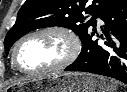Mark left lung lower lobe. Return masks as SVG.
<instances>
[{"mask_svg":"<svg viewBox=\"0 0 127 92\" xmlns=\"http://www.w3.org/2000/svg\"><path fill=\"white\" fill-rule=\"evenodd\" d=\"M100 18L105 22L104 29H101L105 45L100 46L97 40H92L95 24L93 31L82 40L80 55L65 70L104 75L127 84V0H119Z\"/></svg>","mask_w":127,"mask_h":92,"instance_id":"1","label":"left lung lower lobe"}]
</instances>
